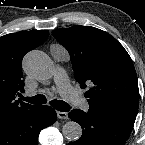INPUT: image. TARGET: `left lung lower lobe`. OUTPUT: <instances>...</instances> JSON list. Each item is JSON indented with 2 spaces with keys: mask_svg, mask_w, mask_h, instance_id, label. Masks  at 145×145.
<instances>
[{
  "mask_svg": "<svg viewBox=\"0 0 145 145\" xmlns=\"http://www.w3.org/2000/svg\"><path fill=\"white\" fill-rule=\"evenodd\" d=\"M138 109L94 108L88 112L72 110L68 116L83 128L82 136L69 145H124L136 119Z\"/></svg>",
  "mask_w": 145,
  "mask_h": 145,
  "instance_id": "1",
  "label": "left lung lower lobe"
}]
</instances>
